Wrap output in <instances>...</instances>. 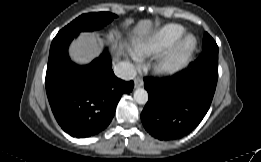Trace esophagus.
Returning a JSON list of instances; mask_svg holds the SVG:
<instances>
[{"mask_svg": "<svg viewBox=\"0 0 261 162\" xmlns=\"http://www.w3.org/2000/svg\"><path fill=\"white\" fill-rule=\"evenodd\" d=\"M134 85H135V88H140V87H142V86L144 85L143 79L140 78V77L135 78V80H134Z\"/></svg>", "mask_w": 261, "mask_h": 162, "instance_id": "34e87169", "label": "esophagus"}]
</instances>
